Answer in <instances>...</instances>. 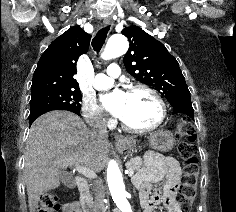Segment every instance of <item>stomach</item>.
Wrapping results in <instances>:
<instances>
[{
	"instance_id": "1",
	"label": "stomach",
	"mask_w": 236,
	"mask_h": 212,
	"mask_svg": "<svg viewBox=\"0 0 236 212\" xmlns=\"http://www.w3.org/2000/svg\"><path fill=\"white\" fill-rule=\"evenodd\" d=\"M149 146L153 150L166 152L171 150L175 145V139L172 133L168 130H158L150 134L149 136ZM138 140L136 137H127L125 143L123 144V149L128 152L133 151L136 148Z\"/></svg>"
}]
</instances>
